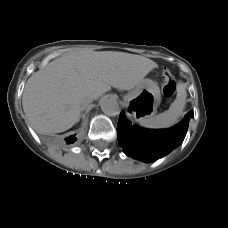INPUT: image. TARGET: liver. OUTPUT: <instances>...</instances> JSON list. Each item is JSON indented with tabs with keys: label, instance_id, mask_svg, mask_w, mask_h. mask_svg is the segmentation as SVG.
<instances>
[{
	"label": "liver",
	"instance_id": "1",
	"mask_svg": "<svg viewBox=\"0 0 228 228\" xmlns=\"http://www.w3.org/2000/svg\"><path fill=\"white\" fill-rule=\"evenodd\" d=\"M158 65L146 57L113 51H77L51 61L26 82L22 106L31 127L60 133L79 121V101L111 87L131 90Z\"/></svg>",
	"mask_w": 228,
	"mask_h": 228
}]
</instances>
